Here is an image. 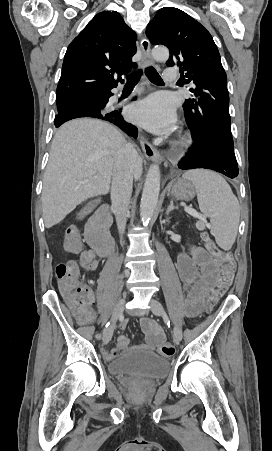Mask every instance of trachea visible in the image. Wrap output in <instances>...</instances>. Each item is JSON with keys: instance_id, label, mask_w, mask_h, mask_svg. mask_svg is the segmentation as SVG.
<instances>
[{"instance_id": "trachea-1", "label": "trachea", "mask_w": 272, "mask_h": 451, "mask_svg": "<svg viewBox=\"0 0 272 451\" xmlns=\"http://www.w3.org/2000/svg\"><path fill=\"white\" fill-rule=\"evenodd\" d=\"M145 73L152 83L163 84V80L160 77L159 73L156 72L155 68H153L152 66H150L149 68H146ZM140 76H141L140 71H138L136 73H132L131 75H128L126 85H136V83H138V81L140 79Z\"/></svg>"}]
</instances>
